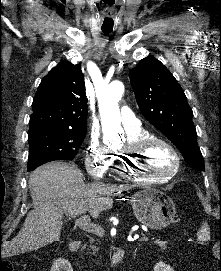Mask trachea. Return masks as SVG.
I'll list each match as a JSON object with an SVG mask.
<instances>
[{
  "mask_svg": "<svg viewBox=\"0 0 221 271\" xmlns=\"http://www.w3.org/2000/svg\"><path fill=\"white\" fill-rule=\"evenodd\" d=\"M112 29H113V27H109V28H102V31H103V33H105V34L107 35V34H109V33H111V32H112Z\"/></svg>",
  "mask_w": 221,
  "mask_h": 271,
  "instance_id": "obj_1",
  "label": "trachea"
}]
</instances>
